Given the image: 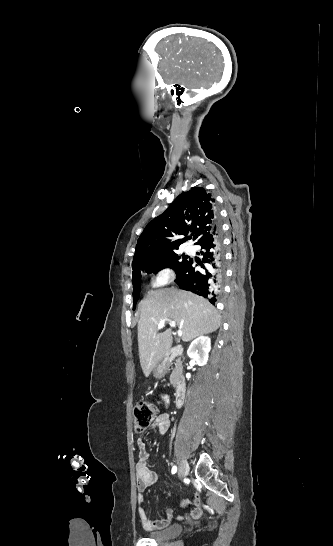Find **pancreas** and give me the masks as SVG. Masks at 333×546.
Here are the masks:
<instances>
[{
	"label": "pancreas",
	"mask_w": 333,
	"mask_h": 546,
	"mask_svg": "<svg viewBox=\"0 0 333 546\" xmlns=\"http://www.w3.org/2000/svg\"><path fill=\"white\" fill-rule=\"evenodd\" d=\"M181 378V372H180V361L175 362V369L172 372L170 376V382L171 384L176 387L179 384Z\"/></svg>",
	"instance_id": "cf45deb5"
}]
</instances>
